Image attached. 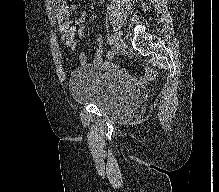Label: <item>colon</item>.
I'll return each instance as SVG.
<instances>
[{
  "label": "colon",
  "mask_w": 219,
  "mask_h": 192,
  "mask_svg": "<svg viewBox=\"0 0 219 192\" xmlns=\"http://www.w3.org/2000/svg\"><path fill=\"white\" fill-rule=\"evenodd\" d=\"M53 4L56 8H62L65 4V0H53ZM59 26L60 27H66L67 26V22H66L65 18L60 19Z\"/></svg>",
  "instance_id": "5ec220e1"
}]
</instances>
